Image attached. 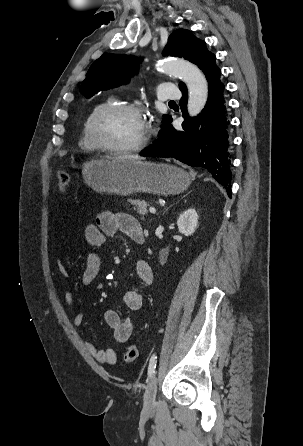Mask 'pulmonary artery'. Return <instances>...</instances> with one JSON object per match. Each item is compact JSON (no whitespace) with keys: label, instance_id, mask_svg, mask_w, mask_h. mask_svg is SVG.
<instances>
[{"label":"pulmonary artery","instance_id":"1","mask_svg":"<svg viewBox=\"0 0 303 446\" xmlns=\"http://www.w3.org/2000/svg\"><path fill=\"white\" fill-rule=\"evenodd\" d=\"M157 97L161 101L176 100L180 98V92L174 84L162 83L158 86Z\"/></svg>","mask_w":303,"mask_h":446}]
</instances>
